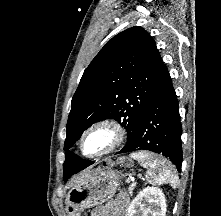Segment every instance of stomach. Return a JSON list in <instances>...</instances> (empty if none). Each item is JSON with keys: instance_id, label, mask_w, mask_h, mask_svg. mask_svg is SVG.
<instances>
[{"instance_id": "0dacf381", "label": "stomach", "mask_w": 221, "mask_h": 216, "mask_svg": "<svg viewBox=\"0 0 221 216\" xmlns=\"http://www.w3.org/2000/svg\"><path fill=\"white\" fill-rule=\"evenodd\" d=\"M121 173L95 169L74 186L66 197L68 216H80L90 207L101 205L111 199L119 186Z\"/></svg>"}]
</instances>
